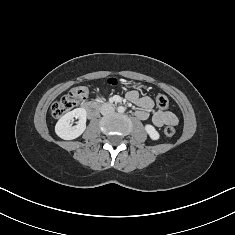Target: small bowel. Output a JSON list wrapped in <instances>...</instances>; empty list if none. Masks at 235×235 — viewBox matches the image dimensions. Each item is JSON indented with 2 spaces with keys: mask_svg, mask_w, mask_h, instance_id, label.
Returning a JSON list of instances; mask_svg holds the SVG:
<instances>
[{
  "mask_svg": "<svg viewBox=\"0 0 235 235\" xmlns=\"http://www.w3.org/2000/svg\"><path fill=\"white\" fill-rule=\"evenodd\" d=\"M127 99L140 107L136 112V116L139 119H148L149 110L153 107V100L149 96H140L137 91H131L127 94ZM152 122L157 127L176 125L178 123V118L170 111H156L152 115Z\"/></svg>",
  "mask_w": 235,
  "mask_h": 235,
  "instance_id": "c3829d8e",
  "label": "small bowel"
}]
</instances>
